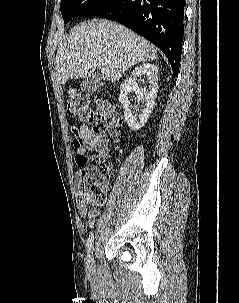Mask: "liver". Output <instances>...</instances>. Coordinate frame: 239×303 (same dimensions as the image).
<instances>
[{"label": "liver", "instance_id": "6515ba94", "mask_svg": "<svg viewBox=\"0 0 239 303\" xmlns=\"http://www.w3.org/2000/svg\"><path fill=\"white\" fill-rule=\"evenodd\" d=\"M158 58L156 49L123 25L91 20L73 27L56 54L62 85L101 70L104 80L115 83L133 65ZM109 59L110 63H105Z\"/></svg>", "mask_w": 239, "mask_h": 303}]
</instances>
